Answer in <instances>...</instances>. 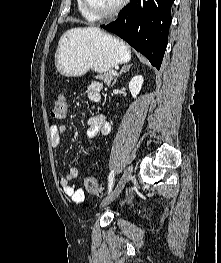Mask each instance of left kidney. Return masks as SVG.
<instances>
[{"label": "left kidney", "instance_id": "obj_1", "mask_svg": "<svg viewBox=\"0 0 221 263\" xmlns=\"http://www.w3.org/2000/svg\"><path fill=\"white\" fill-rule=\"evenodd\" d=\"M143 84V77L141 75L135 76L129 82V90L133 98L139 94Z\"/></svg>", "mask_w": 221, "mask_h": 263}]
</instances>
